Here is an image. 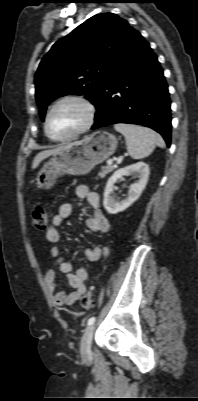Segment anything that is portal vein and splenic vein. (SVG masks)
Here are the masks:
<instances>
[{"label": "portal vein and splenic vein", "instance_id": "obj_1", "mask_svg": "<svg viewBox=\"0 0 198 401\" xmlns=\"http://www.w3.org/2000/svg\"><path fill=\"white\" fill-rule=\"evenodd\" d=\"M120 161H121V159H117V162H118V163H119ZM107 163H108V164H112V163H113V160H108Z\"/></svg>", "mask_w": 198, "mask_h": 401}]
</instances>
